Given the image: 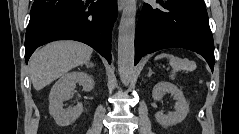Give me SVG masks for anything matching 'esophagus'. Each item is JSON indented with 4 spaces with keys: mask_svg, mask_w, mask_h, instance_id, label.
<instances>
[{
    "mask_svg": "<svg viewBox=\"0 0 239 134\" xmlns=\"http://www.w3.org/2000/svg\"><path fill=\"white\" fill-rule=\"evenodd\" d=\"M126 0H117L118 10L121 11L125 6Z\"/></svg>",
    "mask_w": 239,
    "mask_h": 134,
    "instance_id": "1",
    "label": "esophagus"
}]
</instances>
